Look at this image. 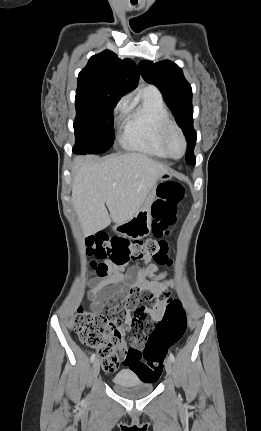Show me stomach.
I'll return each mask as SVG.
<instances>
[{
    "label": "stomach",
    "mask_w": 261,
    "mask_h": 431,
    "mask_svg": "<svg viewBox=\"0 0 261 431\" xmlns=\"http://www.w3.org/2000/svg\"><path fill=\"white\" fill-rule=\"evenodd\" d=\"M172 173L166 172L160 175V181H167L172 178ZM157 186L149 193L140 209L128 220L122 223H115L113 231L127 236L131 239H142L149 235L151 231V206L156 198Z\"/></svg>",
    "instance_id": "stomach-1"
}]
</instances>
